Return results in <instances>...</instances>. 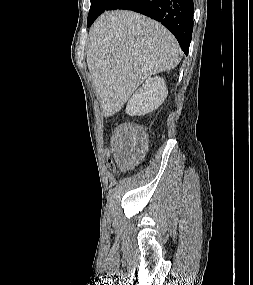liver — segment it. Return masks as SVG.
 Masks as SVG:
<instances>
[{
    "label": "liver",
    "mask_w": 253,
    "mask_h": 285,
    "mask_svg": "<svg viewBox=\"0 0 253 285\" xmlns=\"http://www.w3.org/2000/svg\"><path fill=\"white\" fill-rule=\"evenodd\" d=\"M86 56L102 114L108 117L122 109L144 80L177 66L182 52L157 21L119 10L94 22Z\"/></svg>",
    "instance_id": "liver-1"
}]
</instances>
